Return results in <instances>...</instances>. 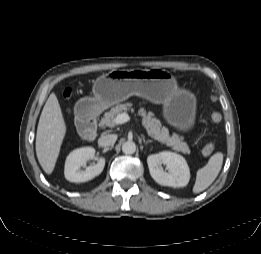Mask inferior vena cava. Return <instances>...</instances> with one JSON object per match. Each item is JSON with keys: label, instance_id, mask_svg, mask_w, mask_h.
<instances>
[{"label": "inferior vena cava", "instance_id": "inferior-vena-cava-1", "mask_svg": "<svg viewBox=\"0 0 261 254\" xmlns=\"http://www.w3.org/2000/svg\"><path fill=\"white\" fill-rule=\"evenodd\" d=\"M117 140V135L115 134H102L98 139V145L100 147H107L113 145Z\"/></svg>", "mask_w": 261, "mask_h": 254}]
</instances>
